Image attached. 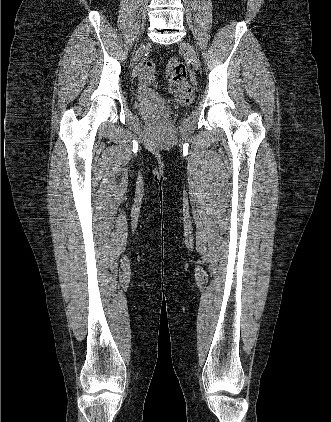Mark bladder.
<instances>
[{
  "instance_id": "bladder-1",
  "label": "bladder",
  "mask_w": 331,
  "mask_h": 422,
  "mask_svg": "<svg viewBox=\"0 0 331 422\" xmlns=\"http://www.w3.org/2000/svg\"><path fill=\"white\" fill-rule=\"evenodd\" d=\"M145 101L150 102L151 104L155 105L157 98L156 97L146 98Z\"/></svg>"
}]
</instances>
